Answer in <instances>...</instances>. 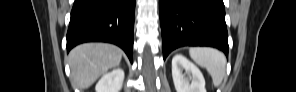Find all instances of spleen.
<instances>
[{"instance_id":"3e777b00","label":"spleen","mask_w":296,"mask_h":92,"mask_svg":"<svg viewBox=\"0 0 296 92\" xmlns=\"http://www.w3.org/2000/svg\"><path fill=\"white\" fill-rule=\"evenodd\" d=\"M189 54L195 63L208 71L214 86L218 87L223 81L226 70V57L224 54L208 47L190 48Z\"/></svg>"}]
</instances>
